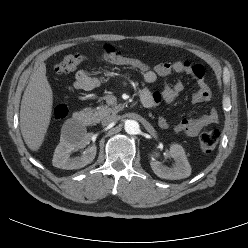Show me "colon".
I'll return each mask as SVG.
<instances>
[{
    "label": "colon",
    "instance_id": "colon-1",
    "mask_svg": "<svg viewBox=\"0 0 248 248\" xmlns=\"http://www.w3.org/2000/svg\"><path fill=\"white\" fill-rule=\"evenodd\" d=\"M99 59L113 64L128 66L138 71L151 68L146 62L135 57L127 56L117 51L113 46L105 44L100 52ZM88 61V58L82 54H67L57 63L55 70L59 74H70L74 72L81 64ZM68 114L65 105H57L54 109V118L56 120L64 119ZM219 140V132L217 130L207 131L201 134L199 145L204 152H211L215 149Z\"/></svg>",
    "mask_w": 248,
    "mask_h": 248
}]
</instances>
